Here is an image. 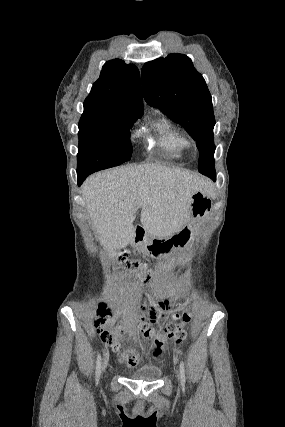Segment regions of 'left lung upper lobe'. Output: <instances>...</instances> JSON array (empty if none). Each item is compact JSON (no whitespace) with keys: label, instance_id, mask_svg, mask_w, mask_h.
I'll return each mask as SVG.
<instances>
[{"label":"left lung upper lobe","instance_id":"1","mask_svg":"<svg viewBox=\"0 0 285 427\" xmlns=\"http://www.w3.org/2000/svg\"><path fill=\"white\" fill-rule=\"evenodd\" d=\"M146 102L158 107L194 138L200 152L198 170L215 180V118L202 75L184 54H169L144 64L141 71Z\"/></svg>","mask_w":285,"mask_h":427}]
</instances>
